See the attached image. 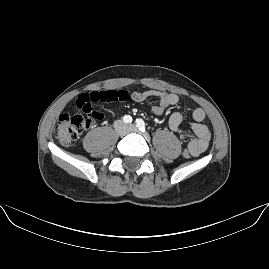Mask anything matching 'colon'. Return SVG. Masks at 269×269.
<instances>
[{
	"mask_svg": "<svg viewBox=\"0 0 269 269\" xmlns=\"http://www.w3.org/2000/svg\"><path fill=\"white\" fill-rule=\"evenodd\" d=\"M127 92L107 89L101 92H82L77 101V106L83 114L65 112L62 113L55 126V137L62 144L73 143L83 132L93 128L101 119L99 109L96 107L99 101L129 100ZM182 157L188 159L190 152L186 148L180 150Z\"/></svg>",
	"mask_w": 269,
	"mask_h": 269,
	"instance_id": "5ec220e1",
	"label": "colon"
}]
</instances>
